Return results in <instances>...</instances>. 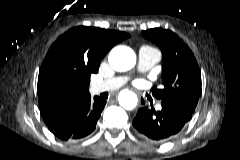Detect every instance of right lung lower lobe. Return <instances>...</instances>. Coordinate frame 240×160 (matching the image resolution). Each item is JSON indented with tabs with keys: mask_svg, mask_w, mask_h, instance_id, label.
<instances>
[{
	"mask_svg": "<svg viewBox=\"0 0 240 160\" xmlns=\"http://www.w3.org/2000/svg\"><path fill=\"white\" fill-rule=\"evenodd\" d=\"M106 104L100 97L87 93L72 101H61L41 109L49 130L59 139L77 140L92 133Z\"/></svg>",
	"mask_w": 240,
	"mask_h": 160,
	"instance_id": "right-lung-lower-lobe-1",
	"label": "right lung lower lobe"
}]
</instances>
